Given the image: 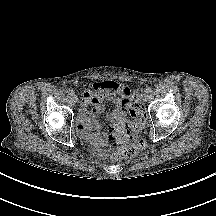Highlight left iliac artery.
Segmentation results:
<instances>
[{
	"label": "left iliac artery",
	"instance_id": "1",
	"mask_svg": "<svg viewBox=\"0 0 216 216\" xmlns=\"http://www.w3.org/2000/svg\"><path fill=\"white\" fill-rule=\"evenodd\" d=\"M146 92L151 93V92H152V88H151V87H148V88L146 89Z\"/></svg>",
	"mask_w": 216,
	"mask_h": 216
}]
</instances>
